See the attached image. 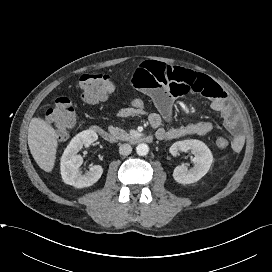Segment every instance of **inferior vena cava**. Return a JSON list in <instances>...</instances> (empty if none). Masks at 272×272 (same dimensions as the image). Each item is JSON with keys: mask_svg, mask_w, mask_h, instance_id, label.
Listing matches in <instances>:
<instances>
[{"mask_svg": "<svg viewBox=\"0 0 272 272\" xmlns=\"http://www.w3.org/2000/svg\"><path fill=\"white\" fill-rule=\"evenodd\" d=\"M132 152V147L129 144H122L119 147V153L121 155L127 156Z\"/></svg>", "mask_w": 272, "mask_h": 272, "instance_id": "1", "label": "inferior vena cava"}]
</instances>
